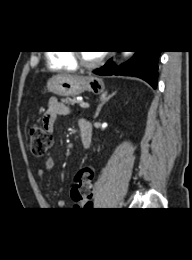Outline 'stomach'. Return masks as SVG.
<instances>
[{
  "label": "stomach",
  "mask_w": 192,
  "mask_h": 260,
  "mask_svg": "<svg viewBox=\"0 0 192 260\" xmlns=\"http://www.w3.org/2000/svg\"><path fill=\"white\" fill-rule=\"evenodd\" d=\"M47 89L58 96L75 97L85 91L99 94L104 90V83L92 75L73 77L56 75L48 80Z\"/></svg>",
  "instance_id": "stomach-1"
}]
</instances>
